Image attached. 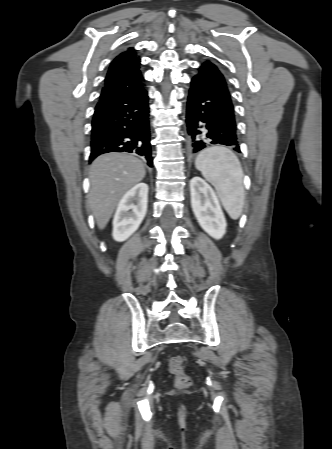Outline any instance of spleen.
I'll return each instance as SVG.
<instances>
[{
	"instance_id": "1",
	"label": "spleen",
	"mask_w": 332,
	"mask_h": 449,
	"mask_svg": "<svg viewBox=\"0 0 332 449\" xmlns=\"http://www.w3.org/2000/svg\"><path fill=\"white\" fill-rule=\"evenodd\" d=\"M195 167L216 189L229 216L236 220L244 206L243 170L237 156L222 146L209 147L199 153Z\"/></svg>"
}]
</instances>
